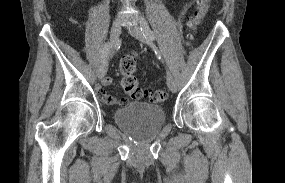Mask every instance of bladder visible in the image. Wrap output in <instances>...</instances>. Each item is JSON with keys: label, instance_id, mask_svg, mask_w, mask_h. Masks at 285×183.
<instances>
[{"label": "bladder", "instance_id": "31cf9c89", "mask_svg": "<svg viewBox=\"0 0 285 183\" xmlns=\"http://www.w3.org/2000/svg\"><path fill=\"white\" fill-rule=\"evenodd\" d=\"M115 122L123 128L139 133L150 134L158 131L165 122V111L160 105L131 103L114 112Z\"/></svg>", "mask_w": 285, "mask_h": 183}]
</instances>
